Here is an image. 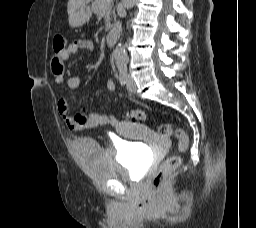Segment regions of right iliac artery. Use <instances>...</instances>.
<instances>
[{
    "mask_svg": "<svg viewBox=\"0 0 256 228\" xmlns=\"http://www.w3.org/2000/svg\"><path fill=\"white\" fill-rule=\"evenodd\" d=\"M118 70H119L120 83L122 85H124L127 82V75H128L127 74V67L125 65H119Z\"/></svg>",
    "mask_w": 256,
    "mask_h": 228,
    "instance_id": "right-iliac-artery-1",
    "label": "right iliac artery"
}]
</instances>
